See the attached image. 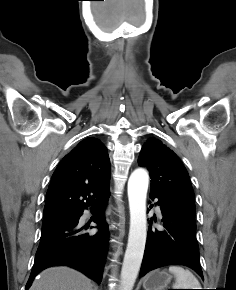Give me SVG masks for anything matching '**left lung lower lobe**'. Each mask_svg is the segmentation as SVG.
<instances>
[{"mask_svg":"<svg viewBox=\"0 0 236 290\" xmlns=\"http://www.w3.org/2000/svg\"><path fill=\"white\" fill-rule=\"evenodd\" d=\"M150 198H158L156 204L161 208L164 230L149 228L139 277L170 264L186 265L203 277L195 222L157 195L150 193Z\"/></svg>","mask_w":236,"mask_h":290,"instance_id":"1","label":"left lung lower lobe"}]
</instances>
